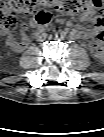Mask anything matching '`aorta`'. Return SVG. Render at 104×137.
I'll return each mask as SVG.
<instances>
[{
    "instance_id": "obj_1",
    "label": "aorta",
    "mask_w": 104,
    "mask_h": 137,
    "mask_svg": "<svg viewBox=\"0 0 104 137\" xmlns=\"http://www.w3.org/2000/svg\"><path fill=\"white\" fill-rule=\"evenodd\" d=\"M66 33L63 30H58L55 34V41L56 42H63L66 40Z\"/></svg>"
}]
</instances>
